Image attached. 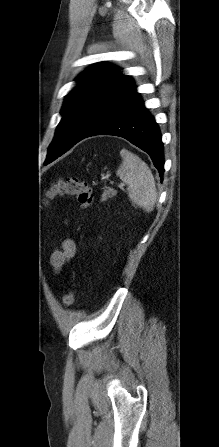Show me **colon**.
Wrapping results in <instances>:
<instances>
[{"instance_id":"obj_1","label":"colon","mask_w":219,"mask_h":447,"mask_svg":"<svg viewBox=\"0 0 219 447\" xmlns=\"http://www.w3.org/2000/svg\"><path fill=\"white\" fill-rule=\"evenodd\" d=\"M72 196L75 197L84 209L89 208L93 202V190L86 182L76 177L59 179L53 183L46 191V197L53 199L55 197ZM76 291L68 289L63 297V305L69 307L74 304Z\"/></svg>"}]
</instances>
